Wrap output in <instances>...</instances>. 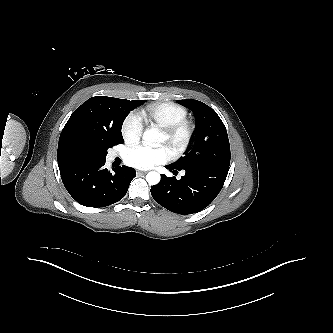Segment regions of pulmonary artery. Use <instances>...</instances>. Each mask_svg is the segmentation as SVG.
<instances>
[{
  "instance_id": "pulmonary-artery-1",
  "label": "pulmonary artery",
  "mask_w": 333,
  "mask_h": 333,
  "mask_svg": "<svg viewBox=\"0 0 333 333\" xmlns=\"http://www.w3.org/2000/svg\"><path fill=\"white\" fill-rule=\"evenodd\" d=\"M115 157H116L115 153H111L110 156H109L110 159H114Z\"/></svg>"
}]
</instances>
